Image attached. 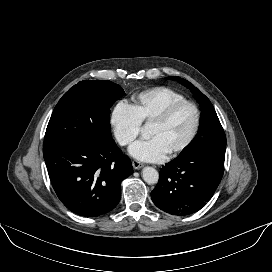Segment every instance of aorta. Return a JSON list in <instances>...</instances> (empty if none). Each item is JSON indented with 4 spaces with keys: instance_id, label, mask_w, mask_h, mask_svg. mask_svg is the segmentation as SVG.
<instances>
[{
    "instance_id": "762f6f07",
    "label": "aorta",
    "mask_w": 272,
    "mask_h": 272,
    "mask_svg": "<svg viewBox=\"0 0 272 272\" xmlns=\"http://www.w3.org/2000/svg\"><path fill=\"white\" fill-rule=\"evenodd\" d=\"M142 177L148 184H156L159 180V173L152 167H145L142 170Z\"/></svg>"
}]
</instances>
